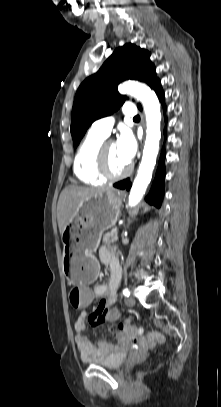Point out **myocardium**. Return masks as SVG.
<instances>
[{"label":"myocardium","instance_id":"myocardium-1","mask_svg":"<svg viewBox=\"0 0 221 407\" xmlns=\"http://www.w3.org/2000/svg\"><path fill=\"white\" fill-rule=\"evenodd\" d=\"M112 143H114L112 140H105L101 144L97 154V171L105 180L114 181L128 176L132 171V165L128 164V166L119 173L111 172L107 161V147Z\"/></svg>","mask_w":221,"mask_h":407}]
</instances>
